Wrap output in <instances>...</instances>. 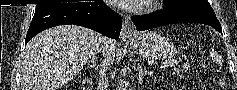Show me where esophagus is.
I'll use <instances>...</instances> for the list:
<instances>
[{"mask_svg": "<svg viewBox=\"0 0 237 90\" xmlns=\"http://www.w3.org/2000/svg\"><path fill=\"white\" fill-rule=\"evenodd\" d=\"M136 36L137 35L134 33L129 24V19L125 18L121 30V39L123 40V42H130L133 41Z\"/></svg>", "mask_w": 237, "mask_h": 90, "instance_id": "obj_1", "label": "esophagus"}]
</instances>
